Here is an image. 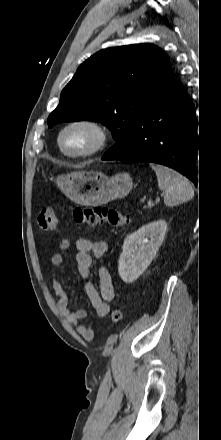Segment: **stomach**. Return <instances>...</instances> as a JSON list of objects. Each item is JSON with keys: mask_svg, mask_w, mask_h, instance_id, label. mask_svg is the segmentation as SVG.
I'll return each mask as SVG.
<instances>
[{"mask_svg": "<svg viewBox=\"0 0 221 440\" xmlns=\"http://www.w3.org/2000/svg\"><path fill=\"white\" fill-rule=\"evenodd\" d=\"M55 182L69 199L84 206L102 205L123 198L133 187L128 173L109 177L101 171H75L58 176Z\"/></svg>", "mask_w": 221, "mask_h": 440, "instance_id": "obj_1", "label": "stomach"}]
</instances>
